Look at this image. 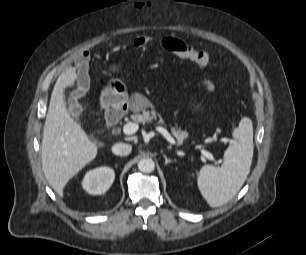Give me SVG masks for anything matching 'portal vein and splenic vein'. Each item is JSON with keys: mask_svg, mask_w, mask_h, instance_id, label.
Here are the masks:
<instances>
[{"mask_svg": "<svg viewBox=\"0 0 306 255\" xmlns=\"http://www.w3.org/2000/svg\"><path fill=\"white\" fill-rule=\"evenodd\" d=\"M138 129H139L138 124L133 123V122H129V123H127L123 126V133L125 135H132V134L136 133L138 131ZM155 129H156L157 132L162 134L168 142H170L171 144L176 143L174 138L170 135V133L165 128H163L161 126H157ZM200 152L203 156H205L210 161H213L215 164H220V161L216 160L215 157L210 152H208L207 150L201 149Z\"/></svg>", "mask_w": 306, "mask_h": 255, "instance_id": "1", "label": "portal vein and splenic vein"}]
</instances>
